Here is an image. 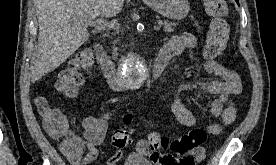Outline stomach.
<instances>
[{"instance_id": "stomach-1", "label": "stomach", "mask_w": 276, "mask_h": 165, "mask_svg": "<svg viewBox=\"0 0 276 165\" xmlns=\"http://www.w3.org/2000/svg\"><path fill=\"white\" fill-rule=\"evenodd\" d=\"M144 2L162 16L173 20L185 18L190 10L188 0H144Z\"/></svg>"}]
</instances>
